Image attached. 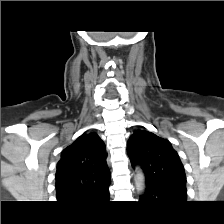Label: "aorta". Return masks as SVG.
Instances as JSON below:
<instances>
[{"label": "aorta", "instance_id": "aorta-1", "mask_svg": "<svg viewBox=\"0 0 224 224\" xmlns=\"http://www.w3.org/2000/svg\"><path fill=\"white\" fill-rule=\"evenodd\" d=\"M134 181L137 192L143 194L145 192L146 184L144 173L140 168L135 169Z\"/></svg>", "mask_w": 224, "mask_h": 224}]
</instances>
